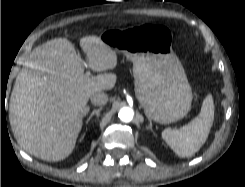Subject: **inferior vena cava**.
<instances>
[{
  "label": "inferior vena cava",
  "instance_id": "1",
  "mask_svg": "<svg viewBox=\"0 0 245 187\" xmlns=\"http://www.w3.org/2000/svg\"><path fill=\"white\" fill-rule=\"evenodd\" d=\"M90 100L95 106H104L108 102V96L104 92H97L91 95Z\"/></svg>",
  "mask_w": 245,
  "mask_h": 187
}]
</instances>
